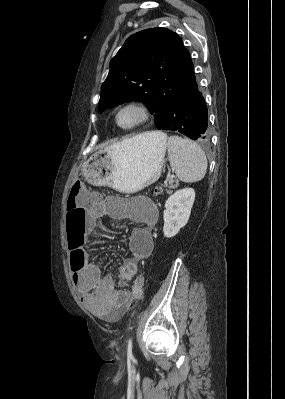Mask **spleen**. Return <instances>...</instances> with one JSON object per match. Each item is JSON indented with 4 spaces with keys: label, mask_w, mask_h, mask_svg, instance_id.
<instances>
[{
    "label": "spleen",
    "mask_w": 285,
    "mask_h": 399,
    "mask_svg": "<svg viewBox=\"0 0 285 399\" xmlns=\"http://www.w3.org/2000/svg\"><path fill=\"white\" fill-rule=\"evenodd\" d=\"M168 158L177 177L184 182L201 180L207 170V159L201 147L177 135L168 139Z\"/></svg>",
    "instance_id": "1"
}]
</instances>
